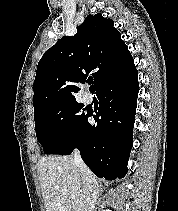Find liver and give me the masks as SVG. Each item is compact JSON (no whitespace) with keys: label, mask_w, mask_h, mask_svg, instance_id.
<instances>
[{"label":"liver","mask_w":178,"mask_h":211,"mask_svg":"<svg viewBox=\"0 0 178 211\" xmlns=\"http://www.w3.org/2000/svg\"><path fill=\"white\" fill-rule=\"evenodd\" d=\"M38 172L45 211H83L87 182L72 156L43 157L38 161ZM88 176L97 184L90 170Z\"/></svg>","instance_id":"6515ba94"}]
</instances>
